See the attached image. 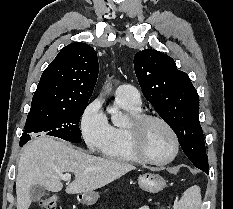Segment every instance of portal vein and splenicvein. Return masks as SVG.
I'll return each mask as SVG.
<instances>
[{
	"label": "portal vein and splenic vein",
	"mask_w": 233,
	"mask_h": 209,
	"mask_svg": "<svg viewBox=\"0 0 233 209\" xmlns=\"http://www.w3.org/2000/svg\"><path fill=\"white\" fill-rule=\"evenodd\" d=\"M60 177L62 180H69L71 178V175L70 174H62Z\"/></svg>",
	"instance_id": "1"
}]
</instances>
